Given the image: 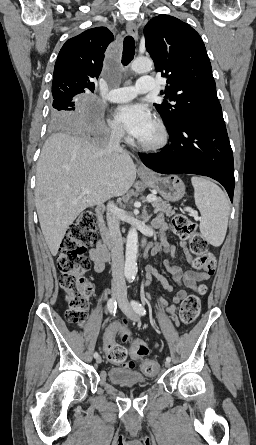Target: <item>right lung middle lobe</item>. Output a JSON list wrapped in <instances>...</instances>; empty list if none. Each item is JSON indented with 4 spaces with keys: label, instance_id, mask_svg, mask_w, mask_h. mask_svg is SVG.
<instances>
[{
    "label": "right lung middle lobe",
    "instance_id": "1",
    "mask_svg": "<svg viewBox=\"0 0 256 445\" xmlns=\"http://www.w3.org/2000/svg\"><path fill=\"white\" fill-rule=\"evenodd\" d=\"M81 93L65 91L53 94V108L51 109L52 127H67L75 124L79 118L78 102Z\"/></svg>",
    "mask_w": 256,
    "mask_h": 445
}]
</instances>
